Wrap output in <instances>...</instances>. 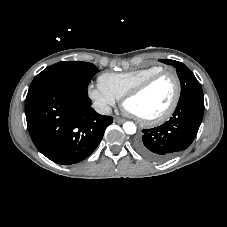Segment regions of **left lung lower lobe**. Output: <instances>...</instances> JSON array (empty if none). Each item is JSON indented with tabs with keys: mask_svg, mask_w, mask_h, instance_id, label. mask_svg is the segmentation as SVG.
I'll return each mask as SVG.
<instances>
[{
	"mask_svg": "<svg viewBox=\"0 0 227 227\" xmlns=\"http://www.w3.org/2000/svg\"><path fill=\"white\" fill-rule=\"evenodd\" d=\"M203 96L189 95L179 100L169 121L144 129L135 141L136 150L153 161H164L186 149L195 139L203 113Z\"/></svg>",
	"mask_w": 227,
	"mask_h": 227,
	"instance_id": "obj_1",
	"label": "left lung lower lobe"
}]
</instances>
